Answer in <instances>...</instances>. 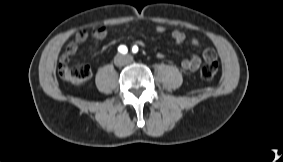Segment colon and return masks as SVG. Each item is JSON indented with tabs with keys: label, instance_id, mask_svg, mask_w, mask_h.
Returning a JSON list of instances; mask_svg holds the SVG:
<instances>
[{
	"label": "colon",
	"instance_id": "5ec220e1",
	"mask_svg": "<svg viewBox=\"0 0 283 162\" xmlns=\"http://www.w3.org/2000/svg\"><path fill=\"white\" fill-rule=\"evenodd\" d=\"M219 69L216 56L213 53H207L204 63L200 69V75L205 80L213 79ZM59 76L74 85H81L85 83L90 75L91 71L88 66L70 67L67 62H60L58 67Z\"/></svg>",
	"mask_w": 283,
	"mask_h": 162
}]
</instances>
